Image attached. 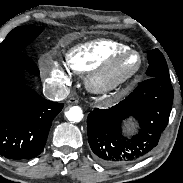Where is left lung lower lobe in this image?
Returning <instances> with one entry per match:
<instances>
[{"instance_id": "left-lung-lower-lobe-1", "label": "left lung lower lobe", "mask_w": 183, "mask_h": 183, "mask_svg": "<svg viewBox=\"0 0 183 183\" xmlns=\"http://www.w3.org/2000/svg\"><path fill=\"white\" fill-rule=\"evenodd\" d=\"M173 102L170 79L150 77L122 102L109 109L95 108L87 118L88 141L102 164L119 166L151 153L167 126ZM133 117L138 133L125 137L122 122Z\"/></svg>"}]
</instances>
